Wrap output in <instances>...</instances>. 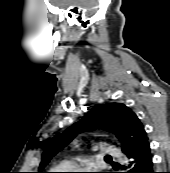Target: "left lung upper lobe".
<instances>
[{
    "mask_svg": "<svg viewBox=\"0 0 170 173\" xmlns=\"http://www.w3.org/2000/svg\"><path fill=\"white\" fill-rule=\"evenodd\" d=\"M98 127L114 133L122 142L121 147L124 153L148 141L144 126L129 107L122 103L98 104L79 122L48 142L39 170L41 171L50 159L67 146L77 134Z\"/></svg>",
    "mask_w": 170,
    "mask_h": 173,
    "instance_id": "left-lung-upper-lobe-1",
    "label": "left lung upper lobe"
}]
</instances>
